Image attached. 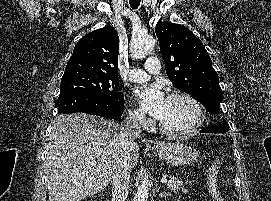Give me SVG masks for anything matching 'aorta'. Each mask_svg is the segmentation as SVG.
I'll return each mask as SVG.
<instances>
[{"label":"aorta","instance_id":"aorta-1","mask_svg":"<svg viewBox=\"0 0 271 201\" xmlns=\"http://www.w3.org/2000/svg\"><path fill=\"white\" fill-rule=\"evenodd\" d=\"M155 46V38L148 34L134 35L130 42V53L134 59L147 56ZM149 195L148 181L142 180L133 201H147Z\"/></svg>","mask_w":271,"mask_h":201}]
</instances>
